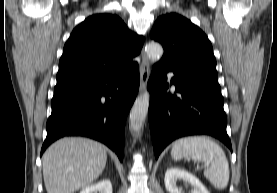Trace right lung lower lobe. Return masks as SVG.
Wrapping results in <instances>:
<instances>
[{
	"mask_svg": "<svg viewBox=\"0 0 277 193\" xmlns=\"http://www.w3.org/2000/svg\"><path fill=\"white\" fill-rule=\"evenodd\" d=\"M139 82L138 64L131 62L96 78L56 85L41 155L61 137L86 136L106 144L122 161L126 118Z\"/></svg>",
	"mask_w": 277,
	"mask_h": 193,
	"instance_id": "98d812e1",
	"label": "right lung lower lobe"
}]
</instances>
